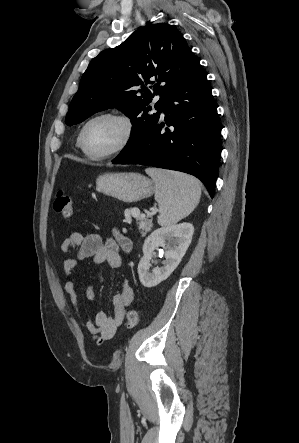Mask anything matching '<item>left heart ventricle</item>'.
Listing matches in <instances>:
<instances>
[{"instance_id": "obj_1", "label": "left heart ventricle", "mask_w": 299, "mask_h": 443, "mask_svg": "<svg viewBox=\"0 0 299 443\" xmlns=\"http://www.w3.org/2000/svg\"><path fill=\"white\" fill-rule=\"evenodd\" d=\"M124 136L123 125L112 118L92 122L85 133V146L93 154H103L115 148Z\"/></svg>"}]
</instances>
